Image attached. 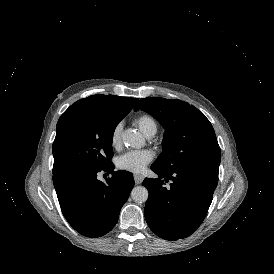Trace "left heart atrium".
I'll use <instances>...</instances> for the list:
<instances>
[{
    "label": "left heart atrium",
    "mask_w": 274,
    "mask_h": 274,
    "mask_svg": "<svg viewBox=\"0 0 274 274\" xmlns=\"http://www.w3.org/2000/svg\"><path fill=\"white\" fill-rule=\"evenodd\" d=\"M152 160V155L147 150L131 151L120 155L116 160L119 169L139 172Z\"/></svg>",
    "instance_id": "left-heart-atrium-1"
}]
</instances>
